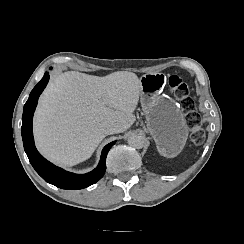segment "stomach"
Masks as SVG:
<instances>
[{"label": "stomach", "mask_w": 244, "mask_h": 244, "mask_svg": "<svg viewBox=\"0 0 244 244\" xmlns=\"http://www.w3.org/2000/svg\"><path fill=\"white\" fill-rule=\"evenodd\" d=\"M140 102L147 128L160 155L176 157L188 138V126L180 105L163 93L167 79L163 73L151 72L140 77Z\"/></svg>", "instance_id": "1"}]
</instances>
